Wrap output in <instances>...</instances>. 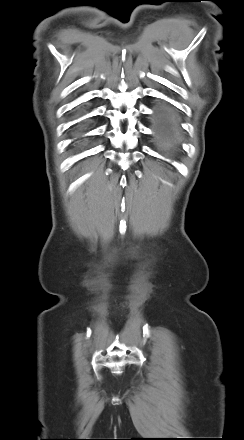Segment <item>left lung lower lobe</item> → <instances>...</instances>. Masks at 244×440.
<instances>
[{"label":"left lung lower lobe","instance_id":"left-lung-lower-lobe-1","mask_svg":"<svg viewBox=\"0 0 244 440\" xmlns=\"http://www.w3.org/2000/svg\"><path fill=\"white\" fill-rule=\"evenodd\" d=\"M156 139L165 145L175 146L180 141L181 125L175 110L167 104H159L153 115Z\"/></svg>","mask_w":244,"mask_h":440}]
</instances>
